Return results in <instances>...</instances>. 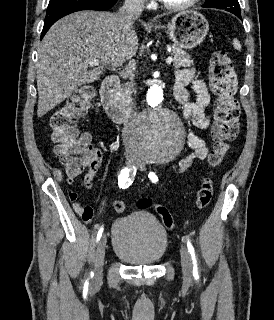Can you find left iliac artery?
I'll return each mask as SVG.
<instances>
[{
  "mask_svg": "<svg viewBox=\"0 0 274 320\" xmlns=\"http://www.w3.org/2000/svg\"><path fill=\"white\" fill-rule=\"evenodd\" d=\"M148 177L153 183H157L158 177L155 175V173L150 172ZM187 248H188V250L190 252V255H191V258H192V262H193V276H194L195 279H197L199 277L197 259H196V256H195L194 248H193L191 242L189 241V239L187 240Z\"/></svg>",
  "mask_w": 274,
  "mask_h": 320,
  "instance_id": "obj_1",
  "label": "left iliac artery"
}]
</instances>
